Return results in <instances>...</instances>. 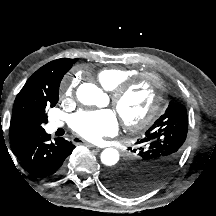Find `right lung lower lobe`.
<instances>
[{"mask_svg":"<svg viewBox=\"0 0 216 216\" xmlns=\"http://www.w3.org/2000/svg\"><path fill=\"white\" fill-rule=\"evenodd\" d=\"M51 135L45 130L30 134L13 153L20 165L33 177L51 179L64 168L66 158L75 146L64 138L50 141Z\"/></svg>","mask_w":216,"mask_h":216,"instance_id":"1","label":"right lung lower lobe"}]
</instances>
